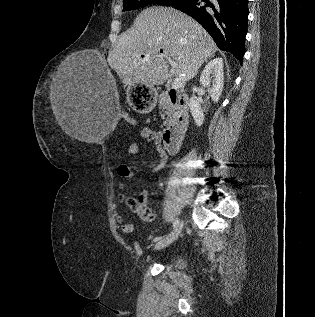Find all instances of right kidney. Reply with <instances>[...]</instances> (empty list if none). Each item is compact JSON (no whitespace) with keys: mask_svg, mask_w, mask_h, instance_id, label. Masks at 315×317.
<instances>
[{"mask_svg":"<svg viewBox=\"0 0 315 317\" xmlns=\"http://www.w3.org/2000/svg\"><path fill=\"white\" fill-rule=\"evenodd\" d=\"M200 85L203 88H207L211 99L214 102H218L223 86H224V72H223V59L215 58L211 60L204 68L200 80ZM212 86L210 87V84ZM193 93L202 91V88L193 87ZM189 108L192 114V117L197 126H201L204 122V114L201 109L200 103L196 100V97H192L189 100Z\"/></svg>","mask_w":315,"mask_h":317,"instance_id":"obj_1","label":"right kidney"}]
</instances>
